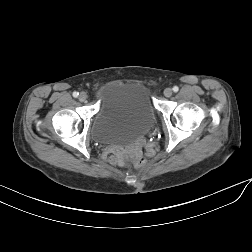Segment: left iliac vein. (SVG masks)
<instances>
[{"instance_id":"4c4485c4","label":"left iliac vein","mask_w":252,"mask_h":252,"mask_svg":"<svg viewBox=\"0 0 252 252\" xmlns=\"http://www.w3.org/2000/svg\"><path fill=\"white\" fill-rule=\"evenodd\" d=\"M163 93H164L165 97H170L172 95L173 91L171 88H166Z\"/></svg>"}]
</instances>
